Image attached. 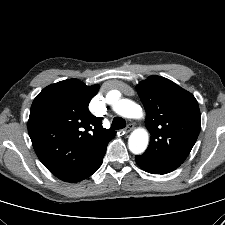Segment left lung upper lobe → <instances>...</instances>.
Listing matches in <instances>:
<instances>
[{"instance_id": "obj_1", "label": "left lung upper lobe", "mask_w": 225, "mask_h": 225, "mask_svg": "<svg viewBox=\"0 0 225 225\" xmlns=\"http://www.w3.org/2000/svg\"><path fill=\"white\" fill-rule=\"evenodd\" d=\"M136 89L144 105L145 123L151 134L144 154L178 168L200 132L197 100L188 91L160 76L149 77Z\"/></svg>"}]
</instances>
